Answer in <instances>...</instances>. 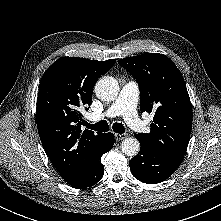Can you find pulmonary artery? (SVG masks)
I'll return each instance as SVG.
<instances>
[{
  "label": "pulmonary artery",
  "mask_w": 221,
  "mask_h": 221,
  "mask_svg": "<svg viewBox=\"0 0 221 221\" xmlns=\"http://www.w3.org/2000/svg\"><path fill=\"white\" fill-rule=\"evenodd\" d=\"M139 95L138 84L134 81H128L122 87L116 100L112 102L105 111L90 115L89 120L94 122L104 118H113L117 115H121L131 128L136 130L143 129L144 125L139 120L136 111Z\"/></svg>",
  "instance_id": "pulmonary-artery-1"
}]
</instances>
